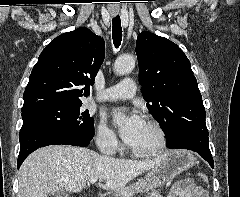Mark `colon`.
I'll return each mask as SVG.
<instances>
[{"instance_id": "1", "label": "colon", "mask_w": 240, "mask_h": 197, "mask_svg": "<svg viewBox=\"0 0 240 197\" xmlns=\"http://www.w3.org/2000/svg\"><path fill=\"white\" fill-rule=\"evenodd\" d=\"M198 178H199V180H201L203 183H208V177H207L205 174H203V173L198 174Z\"/></svg>"}]
</instances>
